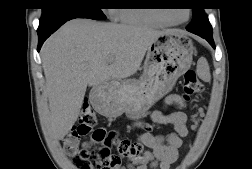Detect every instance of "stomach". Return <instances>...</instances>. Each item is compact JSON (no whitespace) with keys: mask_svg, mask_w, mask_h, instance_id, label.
Here are the masks:
<instances>
[{"mask_svg":"<svg viewBox=\"0 0 252 169\" xmlns=\"http://www.w3.org/2000/svg\"><path fill=\"white\" fill-rule=\"evenodd\" d=\"M194 51L192 40L182 32L163 33L149 46L140 78L96 86L93 106L109 117L123 113L132 117L143 115L190 68Z\"/></svg>","mask_w":252,"mask_h":169,"instance_id":"0dacf381","label":"stomach"}]
</instances>
